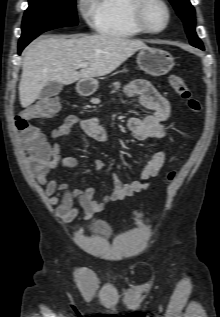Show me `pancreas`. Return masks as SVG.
I'll return each instance as SVG.
<instances>
[{"mask_svg": "<svg viewBox=\"0 0 220 317\" xmlns=\"http://www.w3.org/2000/svg\"><path fill=\"white\" fill-rule=\"evenodd\" d=\"M114 90L112 91V93H115L119 88H120V83L119 82H116L115 84H114ZM93 101L94 102H98L99 101V99L98 98H95V99H93Z\"/></svg>", "mask_w": 220, "mask_h": 317, "instance_id": "cf45deb5", "label": "pancreas"}]
</instances>
